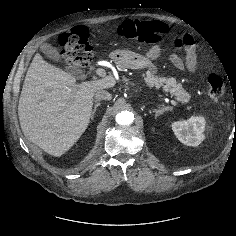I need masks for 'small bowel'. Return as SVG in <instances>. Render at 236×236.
I'll use <instances>...</instances> for the list:
<instances>
[{
    "instance_id": "1",
    "label": "small bowel",
    "mask_w": 236,
    "mask_h": 236,
    "mask_svg": "<svg viewBox=\"0 0 236 236\" xmlns=\"http://www.w3.org/2000/svg\"><path fill=\"white\" fill-rule=\"evenodd\" d=\"M174 45L177 49L185 50V59L183 60L178 52H173L170 56L172 63L182 71L194 72L197 67L196 42L192 34L178 32L174 39ZM160 54V47L152 46L146 56L150 60H155Z\"/></svg>"
}]
</instances>
